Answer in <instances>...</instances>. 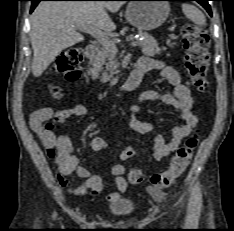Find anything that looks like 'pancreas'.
<instances>
[{"instance_id":"obj_1","label":"pancreas","mask_w":234,"mask_h":231,"mask_svg":"<svg viewBox=\"0 0 234 231\" xmlns=\"http://www.w3.org/2000/svg\"><path fill=\"white\" fill-rule=\"evenodd\" d=\"M139 36H142L144 39L142 41H138L139 46L142 49L143 54L149 55V56H155L160 54L161 49L158 47L157 41L149 35L146 32L139 31ZM177 37L175 35H171L170 39H176ZM170 39L167 40L166 44L169 47H173L175 43H171ZM164 50V48H163ZM117 50L102 47L96 55L93 56V58L90 60L91 67L88 70V74L93 78L97 79L100 75V73L104 70L105 71L102 75L101 82L106 83L108 82L114 74L118 73V66L119 63L116 60ZM109 72V74H108ZM118 81L117 77L112 78L110 85L116 84Z\"/></svg>"}]
</instances>
